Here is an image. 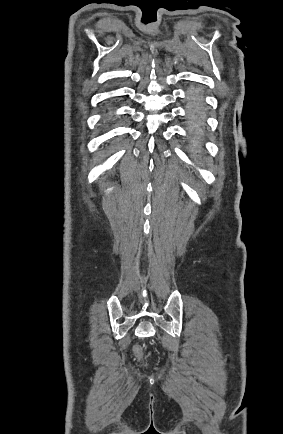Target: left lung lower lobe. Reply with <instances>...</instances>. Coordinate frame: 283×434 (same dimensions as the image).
<instances>
[{
    "instance_id": "0a47b994",
    "label": "left lung lower lobe",
    "mask_w": 283,
    "mask_h": 434,
    "mask_svg": "<svg viewBox=\"0 0 283 434\" xmlns=\"http://www.w3.org/2000/svg\"><path fill=\"white\" fill-rule=\"evenodd\" d=\"M204 105L198 93H191L187 101L188 125L193 136L198 137L204 127Z\"/></svg>"
}]
</instances>
